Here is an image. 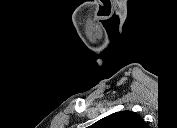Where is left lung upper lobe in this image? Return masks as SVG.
Here are the masks:
<instances>
[{
	"label": "left lung upper lobe",
	"instance_id": "1",
	"mask_svg": "<svg viewBox=\"0 0 177 128\" xmlns=\"http://www.w3.org/2000/svg\"><path fill=\"white\" fill-rule=\"evenodd\" d=\"M95 124L98 128H146L142 117L132 111L113 113Z\"/></svg>",
	"mask_w": 177,
	"mask_h": 128
}]
</instances>
